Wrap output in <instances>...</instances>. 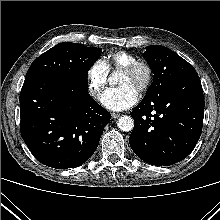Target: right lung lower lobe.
Wrapping results in <instances>:
<instances>
[{"label": "right lung lower lobe", "instance_id": "1", "mask_svg": "<svg viewBox=\"0 0 220 220\" xmlns=\"http://www.w3.org/2000/svg\"><path fill=\"white\" fill-rule=\"evenodd\" d=\"M21 136L42 164L74 168L97 149L111 115L89 94L87 78L36 75L20 94Z\"/></svg>", "mask_w": 220, "mask_h": 220}]
</instances>
